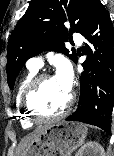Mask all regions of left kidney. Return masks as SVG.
I'll use <instances>...</instances> for the list:
<instances>
[{"instance_id":"left-kidney-1","label":"left kidney","mask_w":114,"mask_h":156,"mask_svg":"<svg viewBox=\"0 0 114 156\" xmlns=\"http://www.w3.org/2000/svg\"><path fill=\"white\" fill-rule=\"evenodd\" d=\"M75 156H105L104 148L96 141L84 144Z\"/></svg>"}]
</instances>
